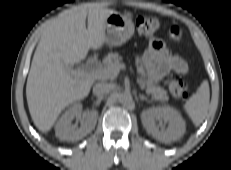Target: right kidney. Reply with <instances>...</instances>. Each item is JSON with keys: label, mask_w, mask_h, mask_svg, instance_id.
<instances>
[{"label": "right kidney", "mask_w": 231, "mask_h": 170, "mask_svg": "<svg viewBox=\"0 0 231 170\" xmlns=\"http://www.w3.org/2000/svg\"><path fill=\"white\" fill-rule=\"evenodd\" d=\"M81 114L82 105L80 103H75L58 120L55 131L56 136L61 141H78L95 128L98 117V112L96 110L87 111L84 114V122H82L80 128H76V126L72 125V120L75 117L81 116Z\"/></svg>", "instance_id": "right-kidney-1"}]
</instances>
